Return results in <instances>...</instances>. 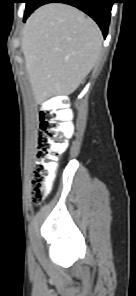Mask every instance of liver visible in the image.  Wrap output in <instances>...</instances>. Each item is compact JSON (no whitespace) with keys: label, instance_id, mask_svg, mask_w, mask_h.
Segmentation results:
<instances>
[{"label":"liver","instance_id":"obj_1","mask_svg":"<svg viewBox=\"0 0 136 296\" xmlns=\"http://www.w3.org/2000/svg\"><path fill=\"white\" fill-rule=\"evenodd\" d=\"M102 41L98 25L70 5L51 3L36 9L21 41L36 102L73 93L97 63Z\"/></svg>","mask_w":136,"mask_h":296}]
</instances>
